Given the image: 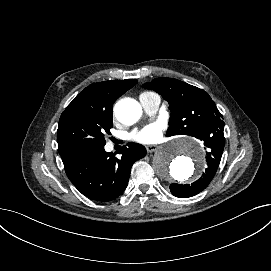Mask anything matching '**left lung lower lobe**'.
Listing matches in <instances>:
<instances>
[{
  "label": "left lung lower lobe",
  "instance_id": "1",
  "mask_svg": "<svg viewBox=\"0 0 271 271\" xmlns=\"http://www.w3.org/2000/svg\"><path fill=\"white\" fill-rule=\"evenodd\" d=\"M217 137L220 138V136ZM204 145L208 148V152L206 153V161L208 167L202 174L201 178L191 185H181L175 183L171 184L170 191L174 196L179 198H188L194 196L203 191L214 178L220 164L225 143L218 140L204 141Z\"/></svg>",
  "mask_w": 271,
  "mask_h": 271
}]
</instances>
